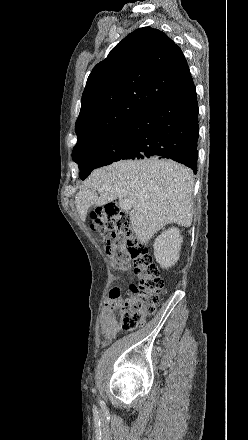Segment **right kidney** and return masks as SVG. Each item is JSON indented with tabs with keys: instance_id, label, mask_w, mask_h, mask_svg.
Returning a JSON list of instances; mask_svg holds the SVG:
<instances>
[{
	"instance_id": "ca27d5eb",
	"label": "right kidney",
	"mask_w": 248,
	"mask_h": 440,
	"mask_svg": "<svg viewBox=\"0 0 248 440\" xmlns=\"http://www.w3.org/2000/svg\"><path fill=\"white\" fill-rule=\"evenodd\" d=\"M183 237L178 228L172 227L159 235L154 242V255L162 268L173 266L179 259Z\"/></svg>"
}]
</instances>
